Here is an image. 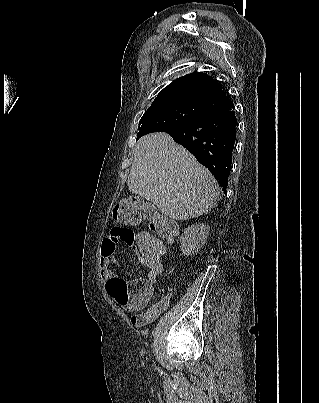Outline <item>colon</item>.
<instances>
[{
	"label": "colon",
	"mask_w": 319,
	"mask_h": 403,
	"mask_svg": "<svg viewBox=\"0 0 319 403\" xmlns=\"http://www.w3.org/2000/svg\"><path fill=\"white\" fill-rule=\"evenodd\" d=\"M138 197L136 193L131 194L130 197H120L119 203L113 209L114 220L125 224L146 222L149 229H138L134 237L137 249L140 251V258H161V254H165L166 251L164 239L173 237L177 227L164 215L148 210L150 203L137 201Z\"/></svg>",
	"instance_id": "colon-1"
}]
</instances>
